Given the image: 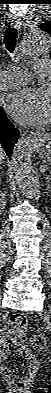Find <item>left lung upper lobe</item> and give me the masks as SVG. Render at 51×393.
<instances>
[{
  "label": "left lung upper lobe",
  "instance_id": "5c2ea615",
  "mask_svg": "<svg viewBox=\"0 0 51 393\" xmlns=\"http://www.w3.org/2000/svg\"><path fill=\"white\" fill-rule=\"evenodd\" d=\"M39 27L41 30L46 31L51 35V21H46L42 23ZM50 57H51V52H50Z\"/></svg>",
  "mask_w": 51,
  "mask_h": 393
}]
</instances>
